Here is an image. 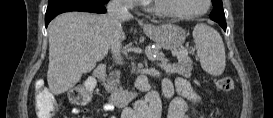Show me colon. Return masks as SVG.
Masks as SVG:
<instances>
[{
	"instance_id": "obj_1",
	"label": "colon",
	"mask_w": 273,
	"mask_h": 118,
	"mask_svg": "<svg viewBox=\"0 0 273 118\" xmlns=\"http://www.w3.org/2000/svg\"><path fill=\"white\" fill-rule=\"evenodd\" d=\"M216 87L224 92H229L234 88V81L231 77H219L214 80ZM94 81L87 79L83 83L74 86L68 94L71 104L76 106L86 105L90 99L94 88ZM60 109V102L56 96L51 94L43 82L39 81L35 92V110L41 118H50Z\"/></svg>"
}]
</instances>
